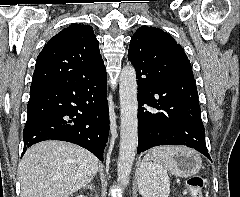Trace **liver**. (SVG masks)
I'll return each instance as SVG.
<instances>
[{"label": "liver", "mask_w": 240, "mask_h": 197, "mask_svg": "<svg viewBox=\"0 0 240 197\" xmlns=\"http://www.w3.org/2000/svg\"><path fill=\"white\" fill-rule=\"evenodd\" d=\"M99 160L76 144L48 140L31 146L19 164L20 197H69L97 174Z\"/></svg>", "instance_id": "6515ba94"}]
</instances>
